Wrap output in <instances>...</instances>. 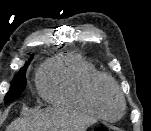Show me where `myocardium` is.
Instances as JSON below:
<instances>
[{
	"instance_id": "f54148a6",
	"label": "myocardium",
	"mask_w": 151,
	"mask_h": 131,
	"mask_svg": "<svg viewBox=\"0 0 151 131\" xmlns=\"http://www.w3.org/2000/svg\"><path fill=\"white\" fill-rule=\"evenodd\" d=\"M107 92L114 93L120 102V110L118 115L115 117L118 118L123 114L126 109V100L124 94L122 93L116 82L109 76L102 75L94 83L92 91V101L94 107L96 108L101 117L113 118L105 112L102 105L103 97Z\"/></svg>"
}]
</instances>
